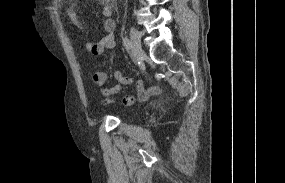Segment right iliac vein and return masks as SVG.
<instances>
[{
  "label": "right iliac vein",
  "mask_w": 285,
  "mask_h": 183,
  "mask_svg": "<svg viewBox=\"0 0 285 183\" xmlns=\"http://www.w3.org/2000/svg\"><path fill=\"white\" fill-rule=\"evenodd\" d=\"M132 57L137 62L142 55L141 37L138 30L134 27H130Z\"/></svg>",
  "instance_id": "obj_1"
}]
</instances>
